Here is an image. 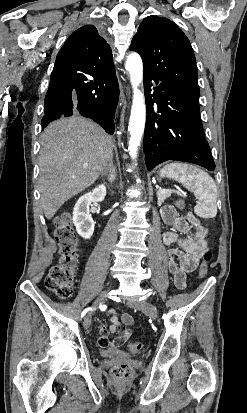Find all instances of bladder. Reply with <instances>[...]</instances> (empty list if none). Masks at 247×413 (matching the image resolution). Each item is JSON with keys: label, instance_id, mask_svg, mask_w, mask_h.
<instances>
[{"label": "bladder", "instance_id": "1", "mask_svg": "<svg viewBox=\"0 0 247 413\" xmlns=\"http://www.w3.org/2000/svg\"><path fill=\"white\" fill-rule=\"evenodd\" d=\"M99 353L102 358H128V352L119 349L99 350Z\"/></svg>", "mask_w": 247, "mask_h": 413}]
</instances>
